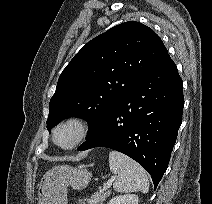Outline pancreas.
Masks as SVG:
<instances>
[{
    "mask_svg": "<svg viewBox=\"0 0 212 204\" xmlns=\"http://www.w3.org/2000/svg\"><path fill=\"white\" fill-rule=\"evenodd\" d=\"M111 191H107V192H97L95 193L90 199H86V200H79V202L81 204H85V201H87V204H102L103 201L106 199L107 196L110 195Z\"/></svg>",
    "mask_w": 212,
    "mask_h": 204,
    "instance_id": "cf45deb5",
    "label": "pancreas"
}]
</instances>
